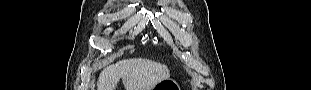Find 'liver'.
<instances>
[{
  "label": "liver",
  "mask_w": 311,
  "mask_h": 90,
  "mask_svg": "<svg viewBox=\"0 0 311 90\" xmlns=\"http://www.w3.org/2000/svg\"><path fill=\"white\" fill-rule=\"evenodd\" d=\"M169 77L170 70L164 64L142 58L124 59L101 71L97 90H115L120 79L125 90H153Z\"/></svg>",
  "instance_id": "6515ba94"
}]
</instances>
